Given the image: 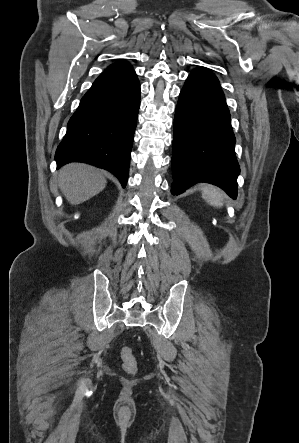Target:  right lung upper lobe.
Masks as SVG:
<instances>
[{"label": "right lung upper lobe", "instance_id": "cb5924a9", "mask_svg": "<svg viewBox=\"0 0 299 443\" xmlns=\"http://www.w3.org/2000/svg\"><path fill=\"white\" fill-rule=\"evenodd\" d=\"M131 67L129 63L125 62V61H119L116 62L112 65H110L106 70H117V69H124V68H128Z\"/></svg>", "mask_w": 299, "mask_h": 443}]
</instances>
